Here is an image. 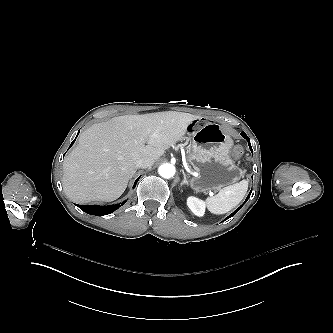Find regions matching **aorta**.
Listing matches in <instances>:
<instances>
[{
	"label": "aorta",
	"instance_id": "762f6f07",
	"mask_svg": "<svg viewBox=\"0 0 333 333\" xmlns=\"http://www.w3.org/2000/svg\"><path fill=\"white\" fill-rule=\"evenodd\" d=\"M158 172L161 177L169 179L175 175V167L170 163H165L159 167Z\"/></svg>",
	"mask_w": 333,
	"mask_h": 333
}]
</instances>
